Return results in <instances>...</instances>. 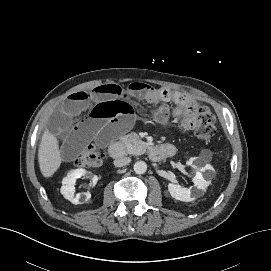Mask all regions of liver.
<instances>
[{
	"label": "liver",
	"instance_id": "6515ba94",
	"mask_svg": "<svg viewBox=\"0 0 271 271\" xmlns=\"http://www.w3.org/2000/svg\"><path fill=\"white\" fill-rule=\"evenodd\" d=\"M38 162L42 175L51 177L60 167L62 158L57 138L45 129L38 150Z\"/></svg>",
	"mask_w": 271,
	"mask_h": 271
}]
</instances>
